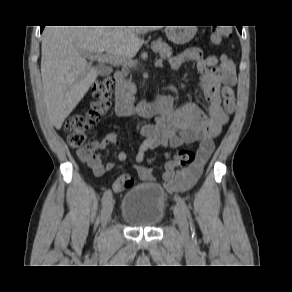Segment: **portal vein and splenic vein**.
I'll return each mask as SVG.
<instances>
[{
	"instance_id": "18ae733b",
	"label": "portal vein and splenic vein",
	"mask_w": 292,
	"mask_h": 292,
	"mask_svg": "<svg viewBox=\"0 0 292 292\" xmlns=\"http://www.w3.org/2000/svg\"><path fill=\"white\" fill-rule=\"evenodd\" d=\"M90 58L92 59H97L98 61L101 62H106V63H111V64H117L125 61V59H119L111 55L110 53H95V54H87ZM134 64V63H133ZM156 67H161L163 66L162 64V59H158L155 63Z\"/></svg>"
}]
</instances>
